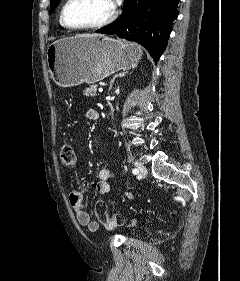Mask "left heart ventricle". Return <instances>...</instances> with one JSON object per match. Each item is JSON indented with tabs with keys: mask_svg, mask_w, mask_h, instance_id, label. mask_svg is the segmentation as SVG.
Returning a JSON list of instances; mask_svg holds the SVG:
<instances>
[{
	"mask_svg": "<svg viewBox=\"0 0 240 281\" xmlns=\"http://www.w3.org/2000/svg\"><path fill=\"white\" fill-rule=\"evenodd\" d=\"M112 11V0H72L65 16L71 25H87L105 19Z\"/></svg>",
	"mask_w": 240,
	"mask_h": 281,
	"instance_id": "left-heart-ventricle-1",
	"label": "left heart ventricle"
}]
</instances>
